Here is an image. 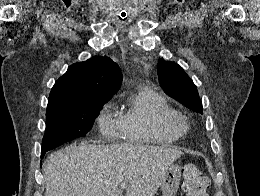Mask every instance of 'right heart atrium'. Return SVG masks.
Instances as JSON below:
<instances>
[{
	"instance_id": "obj_1",
	"label": "right heart atrium",
	"mask_w": 260,
	"mask_h": 196,
	"mask_svg": "<svg viewBox=\"0 0 260 196\" xmlns=\"http://www.w3.org/2000/svg\"><path fill=\"white\" fill-rule=\"evenodd\" d=\"M98 128L105 137H110L120 126L118 119L114 116L109 105H105L100 111L98 117ZM147 190H126V192H146Z\"/></svg>"
}]
</instances>
